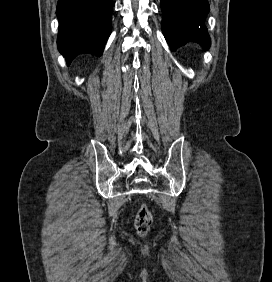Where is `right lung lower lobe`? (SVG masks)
<instances>
[{
  "label": "right lung lower lobe",
  "mask_w": 272,
  "mask_h": 282,
  "mask_svg": "<svg viewBox=\"0 0 272 282\" xmlns=\"http://www.w3.org/2000/svg\"><path fill=\"white\" fill-rule=\"evenodd\" d=\"M112 0H58V49L67 65L83 53L101 56L111 33Z\"/></svg>",
  "instance_id": "1"
}]
</instances>
